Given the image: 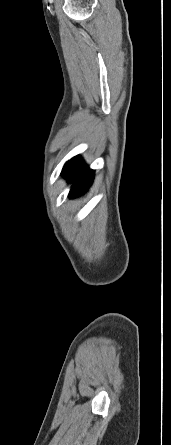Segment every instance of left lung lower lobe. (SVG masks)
<instances>
[{
	"label": "left lung lower lobe",
	"mask_w": 171,
	"mask_h": 445,
	"mask_svg": "<svg viewBox=\"0 0 171 445\" xmlns=\"http://www.w3.org/2000/svg\"><path fill=\"white\" fill-rule=\"evenodd\" d=\"M62 175L68 178L69 182L75 181L71 190L70 197H76L87 190L94 178V171L89 170L83 161L78 157H74L64 165Z\"/></svg>",
	"instance_id": "1"
}]
</instances>
